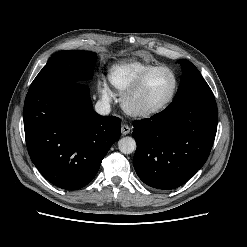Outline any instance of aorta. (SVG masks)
I'll list each match as a JSON object with an SVG mask.
<instances>
[{
  "label": "aorta",
  "instance_id": "obj_1",
  "mask_svg": "<svg viewBox=\"0 0 247 247\" xmlns=\"http://www.w3.org/2000/svg\"><path fill=\"white\" fill-rule=\"evenodd\" d=\"M118 148L124 154H131L136 149V142L132 137H123L118 141Z\"/></svg>",
  "mask_w": 247,
  "mask_h": 247
}]
</instances>
